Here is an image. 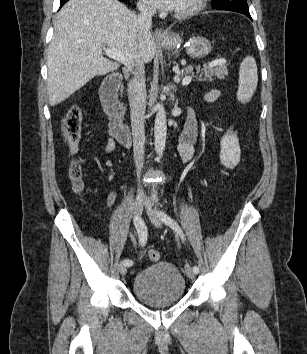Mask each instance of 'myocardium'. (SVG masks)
Returning <instances> with one entry per match:
<instances>
[{"instance_id": "f54148a6", "label": "myocardium", "mask_w": 307, "mask_h": 354, "mask_svg": "<svg viewBox=\"0 0 307 354\" xmlns=\"http://www.w3.org/2000/svg\"><path fill=\"white\" fill-rule=\"evenodd\" d=\"M206 1L207 0H192L185 9L176 11L175 16L178 18H185L194 15L204 7Z\"/></svg>"}]
</instances>
